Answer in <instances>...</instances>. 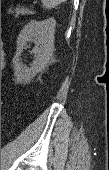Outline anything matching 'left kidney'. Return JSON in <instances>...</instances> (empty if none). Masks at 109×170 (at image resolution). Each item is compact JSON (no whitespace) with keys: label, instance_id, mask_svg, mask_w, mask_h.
Returning a JSON list of instances; mask_svg holds the SVG:
<instances>
[{"label":"left kidney","instance_id":"obj_1","mask_svg":"<svg viewBox=\"0 0 109 170\" xmlns=\"http://www.w3.org/2000/svg\"><path fill=\"white\" fill-rule=\"evenodd\" d=\"M56 21L48 18L41 21H30L21 31L17 40V51L13 58L14 70L19 76H27L41 71L48 63L54 51ZM28 41L36 47L32 50L34 60L25 65L22 62V51Z\"/></svg>","mask_w":109,"mask_h":170}]
</instances>
